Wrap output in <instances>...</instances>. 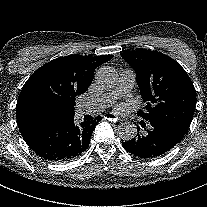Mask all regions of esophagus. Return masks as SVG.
Returning <instances> with one entry per match:
<instances>
[{
    "instance_id": "obj_1",
    "label": "esophagus",
    "mask_w": 207,
    "mask_h": 207,
    "mask_svg": "<svg viewBox=\"0 0 207 207\" xmlns=\"http://www.w3.org/2000/svg\"><path fill=\"white\" fill-rule=\"evenodd\" d=\"M104 118L109 121H118V117L114 113H111V112L105 113Z\"/></svg>"
}]
</instances>
